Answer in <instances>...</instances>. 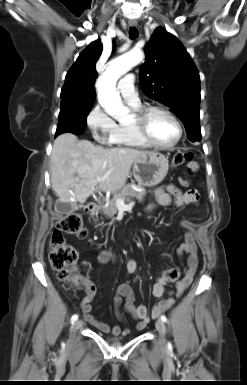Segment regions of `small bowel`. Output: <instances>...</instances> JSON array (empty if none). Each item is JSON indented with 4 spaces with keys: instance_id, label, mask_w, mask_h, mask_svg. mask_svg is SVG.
<instances>
[{
    "instance_id": "c3829d8e",
    "label": "small bowel",
    "mask_w": 247,
    "mask_h": 385,
    "mask_svg": "<svg viewBox=\"0 0 247 385\" xmlns=\"http://www.w3.org/2000/svg\"><path fill=\"white\" fill-rule=\"evenodd\" d=\"M182 183V181H180ZM200 200L199 193L196 189H189L186 192H182L179 188L172 184L165 185L157 190L156 201L160 206H174L182 207L190 204H198ZM153 209V207L151 208ZM181 225L187 229L184 242L178 247L177 255L180 258L187 256L186 266L184 268L183 276H180V272L177 268L168 269L154 284L153 295L158 299L151 311H148L146 305H136L133 289L130 284L123 283L118 286L116 295L113 299L114 310L119 319L123 318V314L120 310L124 299V310L133 319L137 320L135 325L136 330H143L149 323L151 318L158 317L165 310L170 308L176 301V298L180 297L184 291L191 284L194 274L198 265V250L195 242V237L192 232L193 223L191 221H182ZM99 264H106L109 262H115V255L110 250H103L97 257ZM126 268L131 274H140V268L135 260L130 259L126 263ZM88 287L86 289V296L81 302V308L84 318L94 328L99 331L109 333L114 336L126 335L130 332L129 329L122 330L118 325L110 326L97 319L92 311V300L96 294V287L93 282L83 276ZM169 283L175 284V291L169 292V297L163 298L165 293V286ZM174 295V296H173Z\"/></svg>"
}]
</instances>
